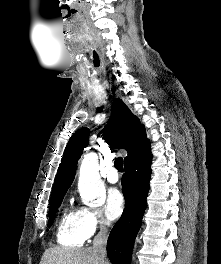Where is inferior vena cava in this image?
Listing matches in <instances>:
<instances>
[{
  "label": "inferior vena cava",
  "instance_id": "1",
  "mask_svg": "<svg viewBox=\"0 0 221 264\" xmlns=\"http://www.w3.org/2000/svg\"><path fill=\"white\" fill-rule=\"evenodd\" d=\"M103 225H109V222L104 221ZM103 225L101 226L98 234L95 236L92 247L93 251L96 253L98 259L102 262V264L105 263L106 244L108 238V231Z\"/></svg>",
  "mask_w": 221,
  "mask_h": 264
}]
</instances>
